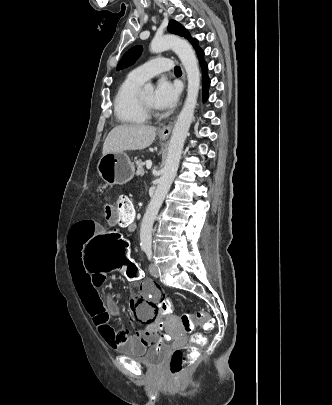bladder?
Segmentation results:
<instances>
[{
  "instance_id": "1",
  "label": "bladder",
  "mask_w": 332,
  "mask_h": 405,
  "mask_svg": "<svg viewBox=\"0 0 332 405\" xmlns=\"http://www.w3.org/2000/svg\"><path fill=\"white\" fill-rule=\"evenodd\" d=\"M167 350L168 347L165 343H156L149 348H143L139 353L131 348H121L119 352L145 365L156 366L165 359Z\"/></svg>"
}]
</instances>
